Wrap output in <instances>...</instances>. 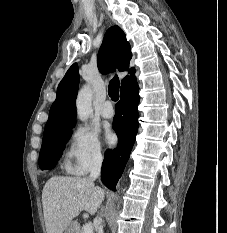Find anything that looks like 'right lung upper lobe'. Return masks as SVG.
Wrapping results in <instances>:
<instances>
[{
	"label": "right lung upper lobe",
	"instance_id": "1",
	"mask_svg": "<svg viewBox=\"0 0 227 233\" xmlns=\"http://www.w3.org/2000/svg\"><path fill=\"white\" fill-rule=\"evenodd\" d=\"M132 58L131 47L126 40V35L118 26L110 27L103 39L98 53V68L101 73H110L117 69L126 71ZM130 76L123 78L121 83V95L137 86L135 69L131 68ZM79 74L77 64H73L66 72L57 88V97L53 102L49 119L46 123L43 140L59 136L75 125L76 96L78 91Z\"/></svg>",
	"mask_w": 227,
	"mask_h": 233
}]
</instances>
